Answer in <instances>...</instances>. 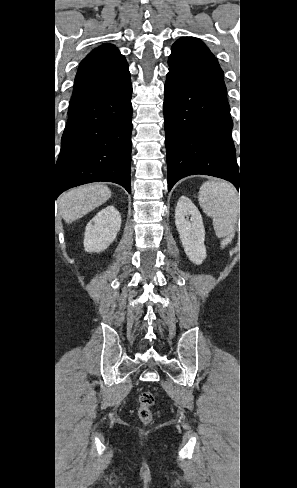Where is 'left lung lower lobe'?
<instances>
[{
	"label": "left lung lower lobe",
	"instance_id": "left-lung-lower-lobe-1",
	"mask_svg": "<svg viewBox=\"0 0 297 488\" xmlns=\"http://www.w3.org/2000/svg\"><path fill=\"white\" fill-rule=\"evenodd\" d=\"M163 107L169 191L194 174L219 177L239 188L229 104L168 73Z\"/></svg>",
	"mask_w": 297,
	"mask_h": 488
}]
</instances>
